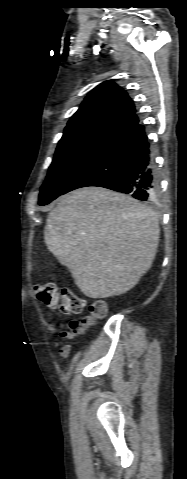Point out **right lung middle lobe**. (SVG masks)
I'll list each match as a JSON object with an SVG mask.
<instances>
[{"label": "right lung middle lobe", "instance_id": "dd1d6c3e", "mask_svg": "<svg viewBox=\"0 0 187 479\" xmlns=\"http://www.w3.org/2000/svg\"><path fill=\"white\" fill-rule=\"evenodd\" d=\"M124 134L121 130L102 125L64 132L41 187L39 204L46 205L57 198L76 175Z\"/></svg>", "mask_w": 187, "mask_h": 479}]
</instances>
